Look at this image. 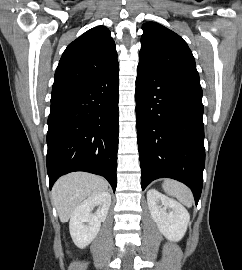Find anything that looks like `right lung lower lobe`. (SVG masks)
<instances>
[{
  "instance_id": "right-lung-lower-lobe-1",
  "label": "right lung lower lobe",
  "mask_w": 242,
  "mask_h": 270,
  "mask_svg": "<svg viewBox=\"0 0 242 270\" xmlns=\"http://www.w3.org/2000/svg\"><path fill=\"white\" fill-rule=\"evenodd\" d=\"M119 68L51 96L47 132L49 186L62 175L86 171L116 189Z\"/></svg>"
}]
</instances>
